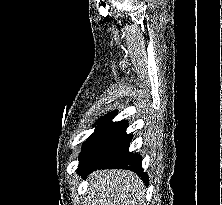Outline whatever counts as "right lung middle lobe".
<instances>
[{
	"label": "right lung middle lobe",
	"instance_id": "1",
	"mask_svg": "<svg viewBox=\"0 0 222 205\" xmlns=\"http://www.w3.org/2000/svg\"><path fill=\"white\" fill-rule=\"evenodd\" d=\"M105 117H106V116H105ZM105 117L99 118L95 124H96V125L99 124ZM84 144H85V143H84ZM84 144H83V146H84Z\"/></svg>",
	"mask_w": 222,
	"mask_h": 205
}]
</instances>
